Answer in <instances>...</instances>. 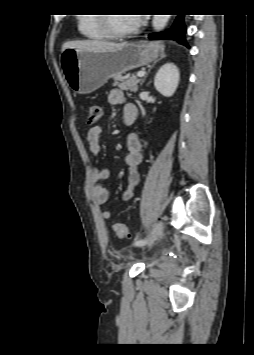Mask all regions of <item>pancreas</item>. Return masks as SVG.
<instances>
[{"mask_svg": "<svg viewBox=\"0 0 254 355\" xmlns=\"http://www.w3.org/2000/svg\"><path fill=\"white\" fill-rule=\"evenodd\" d=\"M139 82H140V79H138L137 76H135V75H132L128 79H123L120 76H115L113 86H117L121 90L135 93L138 91V83Z\"/></svg>", "mask_w": 254, "mask_h": 355, "instance_id": "obj_1", "label": "pancreas"}]
</instances>
